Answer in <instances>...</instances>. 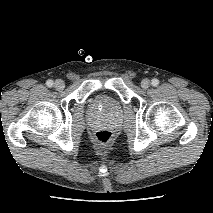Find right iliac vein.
Listing matches in <instances>:
<instances>
[{
	"label": "right iliac vein",
	"mask_w": 213,
	"mask_h": 213,
	"mask_svg": "<svg viewBox=\"0 0 213 213\" xmlns=\"http://www.w3.org/2000/svg\"><path fill=\"white\" fill-rule=\"evenodd\" d=\"M54 87L58 90V91H61L64 89L65 87V83L63 80H56L55 83H54Z\"/></svg>",
	"instance_id": "1"
}]
</instances>
